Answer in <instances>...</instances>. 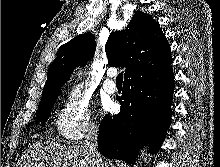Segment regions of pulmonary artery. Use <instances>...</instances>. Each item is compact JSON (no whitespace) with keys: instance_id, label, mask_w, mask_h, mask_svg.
Masks as SVG:
<instances>
[{"instance_id":"1","label":"pulmonary artery","mask_w":220,"mask_h":167,"mask_svg":"<svg viewBox=\"0 0 220 167\" xmlns=\"http://www.w3.org/2000/svg\"><path fill=\"white\" fill-rule=\"evenodd\" d=\"M114 75H115V72L112 70H109L106 74L105 80L103 81V88L109 94H113L117 90L116 84L113 81Z\"/></svg>"}]
</instances>
